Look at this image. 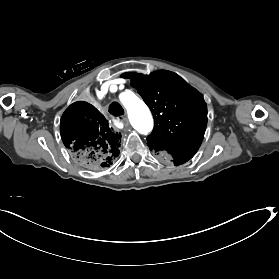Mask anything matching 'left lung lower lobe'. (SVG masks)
Returning <instances> with one entry per match:
<instances>
[{"label": "left lung lower lobe", "instance_id": "1", "mask_svg": "<svg viewBox=\"0 0 279 279\" xmlns=\"http://www.w3.org/2000/svg\"><path fill=\"white\" fill-rule=\"evenodd\" d=\"M165 156L170 158L174 162V165L178 166L180 164L187 162L189 159H191L194 156V154L173 152V153H166Z\"/></svg>", "mask_w": 279, "mask_h": 279}]
</instances>
